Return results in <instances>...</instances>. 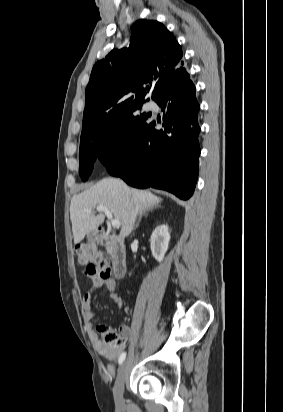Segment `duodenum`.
<instances>
[{
  "mask_svg": "<svg viewBox=\"0 0 283 412\" xmlns=\"http://www.w3.org/2000/svg\"><path fill=\"white\" fill-rule=\"evenodd\" d=\"M98 244H106L109 247L113 264V275L122 279L127 271V259L123 240L118 235H107L104 229H100L97 236Z\"/></svg>",
  "mask_w": 283,
  "mask_h": 412,
  "instance_id": "410a0bca",
  "label": "duodenum"
}]
</instances>
